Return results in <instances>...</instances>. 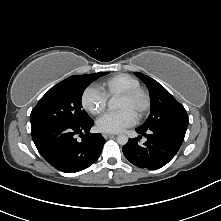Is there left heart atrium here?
Segmentation results:
<instances>
[{"label": "left heart atrium", "mask_w": 221, "mask_h": 221, "mask_svg": "<svg viewBox=\"0 0 221 221\" xmlns=\"http://www.w3.org/2000/svg\"><path fill=\"white\" fill-rule=\"evenodd\" d=\"M136 116L128 109L115 113H106L96 121L97 129L104 133H118L125 128L132 126Z\"/></svg>", "instance_id": "1"}]
</instances>
